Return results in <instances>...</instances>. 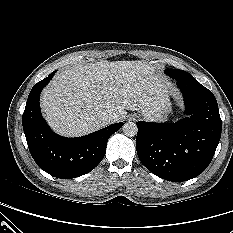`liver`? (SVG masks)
<instances>
[{"instance_id": "obj_1", "label": "liver", "mask_w": 233, "mask_h": 233, "mask_svg": "<svg viewBox=\"0 0 233 233\" xmlns=\"http://www.w3.org/2000/svg\"><path fill=\"white\" fill-rule=\"evenodd\" d=\"M168 89L155 68L143 61H100L75 64L60 71L43 90L41 108L49 125L60 135L76 137L125 117L126 110L157 120Z\"/></svg>"}]
</instances>
